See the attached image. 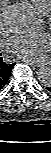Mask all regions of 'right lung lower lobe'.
Listing matches in <instances>:
<instances>
[{
  "instance_id": "98d812e1",
  "label": "right lung lower lobe",
  "mask_w": 51,
  "mask_h": 153,
  "mask_svg": "<svg viewBox=\"0 0 51 153\" xmlns=\"http://www.w3.org/2000/svg\"><path fill=\"white\" fill-rule=\"evenodd\" d=\"M14 65H15L14 63L13 64H6L5 62H3L2 58L0 57V89L8 81Z\"/></svg>"
}]
</instances>
